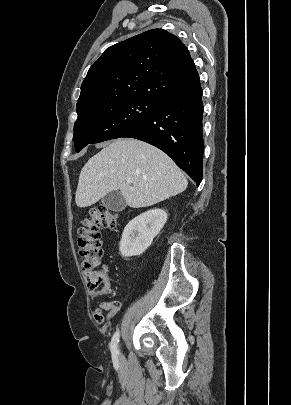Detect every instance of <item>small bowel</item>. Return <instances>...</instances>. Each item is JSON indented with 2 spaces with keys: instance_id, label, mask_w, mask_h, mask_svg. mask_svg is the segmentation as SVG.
<instances>
[{
  "instance_id": "c3829d8e",
  "label": "small bowel",
  "mask_w": 291,
  "mask_h": 405,
  "mask_svg": "<svg viewBox=\"0 0 291 405\" xmlns=\"http://www.w3.org/2000/svg\"><path fill=\"white\" fill-rule=\"evenodd\" d=\"M103 309L109 310L107 318H112L120 309V304L118 302H110L101 306V308L97 309L94 313V319L97 323H102L104 320V316L102 313Z\"/></svg>"
}]
</instances>
